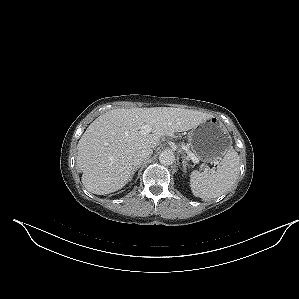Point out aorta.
<instances>
[{"label": "aorta", "instance_id": "obj_1", "mask_svg": "<svg viewBox=\"0 0 299 299\" xmlns=\"http://www.w3.org/2000/svg\"><path fill=\"white\" fill-rule=\"evenodd\" d=\"M159 161L163 165H172L175 161V155L170 150H165L160 153Z\"/></svg>", "mask_w": 299, "mask_h": 299}]
</instances>
